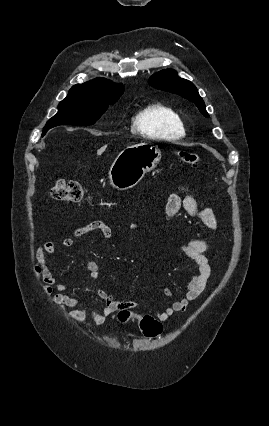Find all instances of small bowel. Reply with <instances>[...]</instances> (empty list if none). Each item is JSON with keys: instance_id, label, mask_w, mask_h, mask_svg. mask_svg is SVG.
Here are the masks:
<instances>
[{"instance_id": "c3829d8e", "label": "small bowel", "mask_w": 269, "mask_h": 426, "mask_svg": "<svg viewBox=\"0 0 269 426\" xmlns=\"http://www.w3.org/2000/svg\"><path fill=\"white\" fill-rule=\"evenodd\" d=\"M166 214L169 218L178 216L181 210H185L188 215L197 219L211 230H218L219 223L215 212L209 208H201L197 200L191 193L189 185L181 187L179 193L171 194L166 204ZM93 231H100L104 239L109 240L113 236V229L102 221H93L83 227L75 229L71 235L64 238L62 245L71 247L75 241ZM210 239H190L179 246V250L196 264V269L190 273L189 281L186 285L185 296L173 301L163 311L153 313L154 317L160 322H166L177 313L186 311L191 302L196 300L205 290L208 280L212 275V267L206 252L210 248ZM55 251L53 242L48 241L36 251L35 275L44 283L43 290L53 303L62 309L75 308L81 304V299L76 296H70L65 293L67 286L60 283L52 274L47 256ZM86 274L91 279H98L99 266L95 261H89L86 264ZM56 291V292H54ZM97 294L103 301L100 310L90 306H85L79 312V317H89L95 324H103L106 319L115 311L122 309H134L139 306L138 302L129 299H118L103 289H98ZM165 295H170V290L165 289ZM134 319L140 321L143 315L134 314Z\"/></svg>"}]
</instances>
